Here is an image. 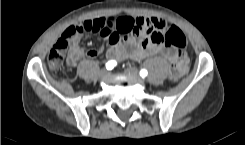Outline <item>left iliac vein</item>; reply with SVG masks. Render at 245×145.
I'll list each match as a JSON object with an SVG mask.
<instances>
[{"instance_id":"obj_1","label":"left iliac vein","mask_w":245,"mask_h":145,"mask_svg":"<svg viewBox=\"0 0 245 145\" xmlns=\"http://www.w3.org/2000/svg\"><path fill=\"white\" fill-rule=\"evenodd\" d=\"M124 72L133 77L134 79H136L139 83H143L144 82V79H142L141 77H139V73H138V70L137 68L135 67H128L124 70Z\"/></svg>"}]
</instances>
